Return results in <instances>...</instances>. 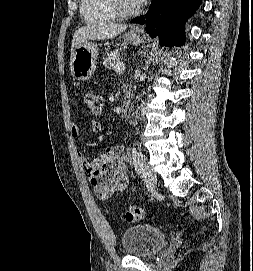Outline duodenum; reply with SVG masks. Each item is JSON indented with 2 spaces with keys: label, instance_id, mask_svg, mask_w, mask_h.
I'll use <instances>...</instances> for the list:
<instances>
[{
  "label": "duodenum",
  "instance_id": "410a0bca",
  "mask_svg": "<svg viewBox=\"0 0 253 271\" xmlns=\"http://www.w3.org/2000/svg\"><path fill=\"white\" fill-rule=\"evenodd\" d=\"M130 105H131L130 98L127 96L120 107L121 116H126L129 113Z\"/></svg>",
  "mask_w": 253,
  "mask_h": 271
}]
</instances>
